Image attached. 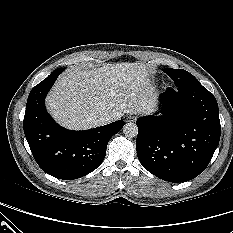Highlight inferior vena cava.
Listing matches in <instances>:
<instances>
[{
  "label": "inferior vena cava",
  "mask_w": 233,
  "mask_h": 233,
  "mask_svg": "<svg viewBox=\"0 0 233 233\" xmlns=\"http://www.w3.org/2000/svg\"><path fill=\"white\" fill-rule=\"evenodd\" d=\"M96 122H98L100 125H105L110 122H112L111 117L108 114L100 115L97 117Z\"/></svg>",
  "instance_id": "obj_1"
}]
</instances>
